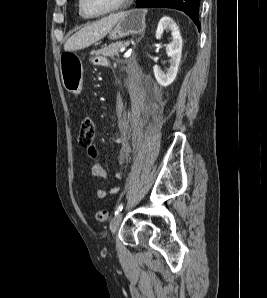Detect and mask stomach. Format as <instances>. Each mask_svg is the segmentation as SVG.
<instances>
[{"label":"stomach","instance_id":"1","mask_svg":"<svg viewBox=\"0 0 267 298\" xmlns=\"http://www.w3.org/2000/svg\"><path fill=\"white\" fill-rule=\"evenodd\" d=\"M146 14L145 9L124 12L109 31V38L115 40L128 35L142 34L146 28ZM60 72L65 89L75 95L80 94L83 85V67L76 54L66 51L60 55Z\"/></svg>","mask_w":267,"mask_h":298}]
</instances>
